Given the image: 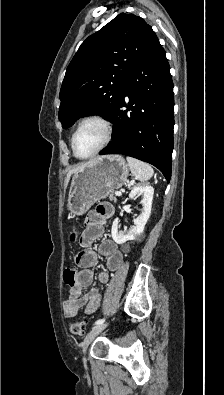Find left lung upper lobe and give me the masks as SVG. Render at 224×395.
<instances>
[{
    "instance_id": "5c2ea615",
    "label": "left lung upper lobe",
    "mask_w": 224,
    "mask_h": 395,
    "mask_svg": "<svg viewBox=\"0 0 224 395\" xmlns=\"http://www.w3.org/2000/svg\"><path fill=\"white\" fill-rule=\"evenodd\" d=\"M157 41L143 18L125 13L89 36L69 64L61 86L62 127L86 115L110 119L128 77Z\"/></svg>"
}]
</instances>
